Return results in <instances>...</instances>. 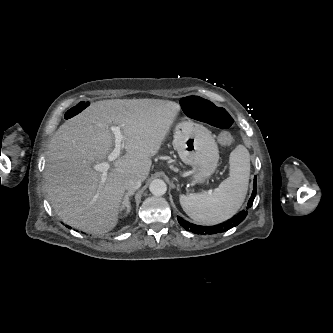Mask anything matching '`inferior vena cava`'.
<instances>
[{
    "mask_svg": "<svg viewBox=\"0 0 333 333\" xmlns=\"http://www.w3.org/2000/svg\"><path fill=\"white\" fill-rule=\"evenodd\" d=\"M140 186H141V179L134 177V176L128 177L124 181V188L128 192H134L137 189H139Z\"/></svg>",
    "mask_w": 333,
    "mask_h": 333,
    "instance_id": "1",
    "label": "inferior vena cava"
}]
</instances>
